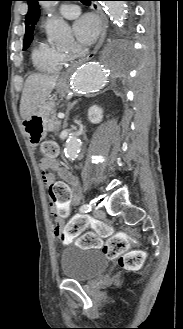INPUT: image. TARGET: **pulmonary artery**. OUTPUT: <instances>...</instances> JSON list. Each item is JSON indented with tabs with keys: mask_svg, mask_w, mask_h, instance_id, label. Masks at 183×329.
Here are the masks:
<instances>
[{
	"mask_svg": "<svg viewBox=\"0 0 183 329\" xmlns=\"http://www.w3.org/2000/svg\"><path fill=\"white\" fill-rule=\"evenodd\" d=\"M81 12V9L76 4H62L59 9V13L66 19L76 18Z\"/></svg>",
	"mask_w": 183,
	"mask_h": 329,
	"instance_id": "pulmonary-artery-1",
	"label": "pulmonary artery"
}]
</instances>
